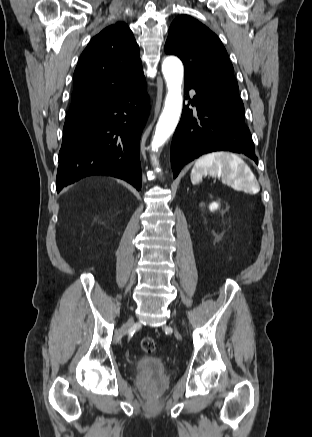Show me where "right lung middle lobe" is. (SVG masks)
Wrapping results in <instances>:
<instances>
[{
    "label": "right lung middle lobe",
    "instance_id": "obj_1",
    "mask_svg": "<svg viewBox=\"0 0 312 437\" xmlns=\"http://www.w3.org/2000/svg\"><path fill=\"white\" fill-rule=\"evenodd\" d=\"M78 115H79V113H67L65 120H70L72 118H75Z\"/></svg>",
    "mask_w": 312,
    "mask_h": 437
}]
</instances>
